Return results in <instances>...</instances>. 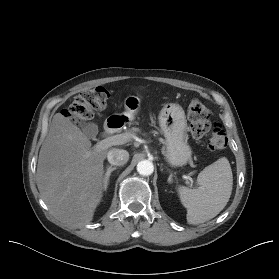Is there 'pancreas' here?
<instances>
[{
    "mask_svg": "<svg viewBox=\"0 0 279 279\" xmlns=\"http://www.w3.org/2000/svg\"><path fill=\"white\" fill-rule=\"evenodd\" d=\"M137 131V129L135 128V129H133V132H136Z\"/></svg>",
    "mask_w": 279,
    "mask_h": 279,
    "instance_id": "1",
    "label": "pancreas"
}]
</instances>
